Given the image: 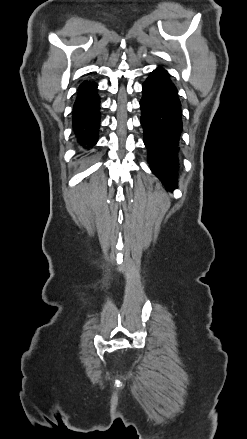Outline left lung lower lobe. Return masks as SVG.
<instances>
[{
  "mask_svg": "<svg viewBox=\"0 0 247 439\" xmlns=\"http://www.w3.org/2000/svg\"><path fill=\"white\" fill-rule=\"evenodd\" d=\"M140 101L144 144L151 169L169 191L177 188L181 103L167 71L159 67L144 82Z\"/></svg>",
  "mask_w": 247,
  "mask_h": 439,
  "instance_id": "obj_1",
  "label": "left lung lower lobe"
}]
</instances>
